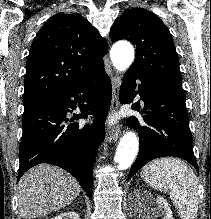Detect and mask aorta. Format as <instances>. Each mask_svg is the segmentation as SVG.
Instances as JSON below:
<instances>
[{
  "label": "aorta",
  "mask_w": 211,
  "mask_h": 219,
  "mask_svg": "<svg viewBox=\"0 0 211 219\" xmlns=\"http://www.w3.org/2000/svg\"><path fill=\"white\" fill-rule=\"evenodd\" d=\"M110 57L117 70L125 71L133 62L134 49L130 43H118L112 47ZM138 148L139 140L136 134L126 132L120 139L114 158L115 162L118 163V169L125 170L132 165L137 156Z\"/></svg>",
  "instance_id": "1"
}]
</instances>
